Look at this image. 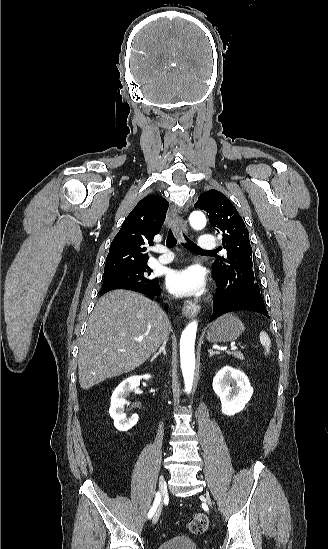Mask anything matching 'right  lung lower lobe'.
I'll return each mask as SVG.
<instances>
[{
    "mask_svg": "<svg viewBox=\"0 0 328 549\" xmlns=\"http://www.w3.org/2000/svg\"><path fill=\"white\" fill-rule=\"evenodd\" d=\"M133 291L143 293L151 298H153L156 295H160L161 290L158 286L157 281L150 287L144 288V289H134Z\"/></svg>",
    "mask_w": 328,
    "mask_h": 549,
    "instance_id": "98d812e1",
    "label": "right lung lower lobe"
}]
</instances>
